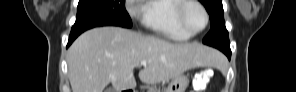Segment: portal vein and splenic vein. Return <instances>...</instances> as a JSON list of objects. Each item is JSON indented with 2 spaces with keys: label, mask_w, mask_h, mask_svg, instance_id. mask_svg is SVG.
<instances>
[{
  "label": "portal vein and splenic vein",
  "mask_w": 296,
  "mask_h": 92,
  "mask_svg": "<svg viewBox=\"0 0 296 92\" xmlns=\"http://www.w3.org/2000/svg\"><path fill=\"white\" fill-rule=\"evenodd\" d=\"M147 62L145 60L141 61L140 65L146 66Z\"/></svg>",
  "instance_id": "1"
}]
</instances>
